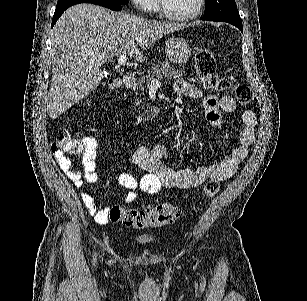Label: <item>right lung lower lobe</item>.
<instances>
[{
  "instance_id": "1",
  "label": "right lung lower lobe",
  "mask_w": 307,
  "mask_h": 301,
  "mask_svg": "<svg viewBox=\"0 0 307 301\" xmlns=\"http://www.w3.org/2000/svg\"><path fill=\"white\" fill-rule=\"evenodd\" d=\"M79 3H92V4H96V5H100V6L109 8L113 11H120L122 9V6H121L122 4H120L118 2L108 1V0H84V1H81V2H77V3H72V4L60 6V7L56 8L55 13L53 15L52 27L56 23V21L59 19V17L62 15V13L67 8H69L73 5L79 4Z\"/></svg>"
}]
</instances>
